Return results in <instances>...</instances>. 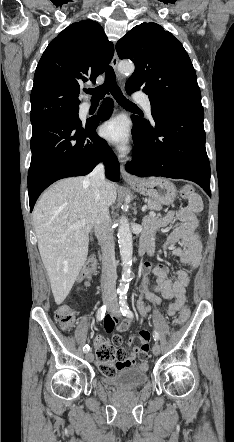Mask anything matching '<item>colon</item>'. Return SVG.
<instances>
[{
    "mask_svg": "<svg viewBox=\"0 0 234 442\" xmlns=\"http://www.w3.org/2000/svg\"><path fill=\"white\" fill-rule=\"evenodd\" d=\"M180 195L183 199L192 200L197 197L194 188L191 185L182 187ZM96 269V262L93 259L88 260L79 276V282L86 285L91 279ZM190 311L185 307L179 316L174 320L176 325H182L189 317ZM55 320L59 325L68 330L74 322V313L68 305L60 306L55 312ZM141 348V347H140ZM149 350V349H148ZM98 368L104 375H111L117 369L127 366V354L120 345L119 347L112 346L108 342H102L97 346ZM147 360V359H146ZM141 362L143 368H147L145 361Z\"/></svg>",
    "mask_w": 234,
    "mask_h": 442,
    "instance_id": "5ec220e1",
    "label": "colon"
}]
</instances>
